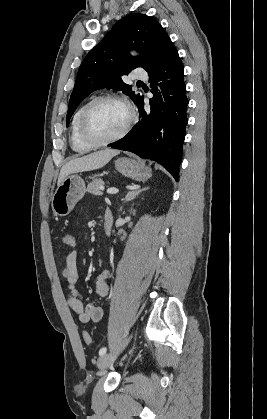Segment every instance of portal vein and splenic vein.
<instances>
[{
    "instance_id": "portal-vein-and-splenic-vein-1",
    "label": "portal vein and splenic vein",
    "mask_w": 267,
    "mask_h": 419,
    "mask_svg": "<svg viewBox=\"0 0 267 419\" xmlns=\"http://www.w3.org/2000/svg\"><path fill=\"white\" fill-rule=\"evenodd\" d=\"M108 194H117L118 193V189L116 188H109L106 191Z\"/></svg>"
}]
</instances>
